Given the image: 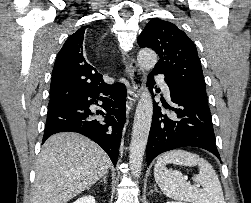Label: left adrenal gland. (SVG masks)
Segmentation results:
<instances>
[{
	"label": "left adrenal gland",
	"mask_w": 251,
	"mask_h": 203,
	"mask_svg": "<svg viewBox=\"0 0 251 203\" xmlns=\"http://www.w3.org/2000/svg\"><path fill=\"white\" fill-rule=\"evenodd\" d=\"M154 187V192H158L156 185ZM151 192H153V190H151Z\"/></svg>",
	"instance_id": "1"
}]
</instances>
